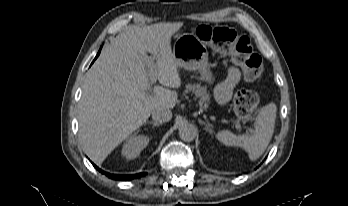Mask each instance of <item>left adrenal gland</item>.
<instances>
[{"instance_id":"a2214340","label":"left adrenal gland","mask_w":348,"mask_h":206,"mask_svg":"<svg viewBox=\"0 0 348 206\" xmlns=\"http://www.w3.org/2000/svg\"><path fill=\"white\" fill-rule=\"evenodd\" d=\"M199 123L201 124V125H205V130L206 131H208L210 134H212L213 133V130H212V128L210 127V125L208 124V123H206V122H204V121H202V120H200L199 119Z\"/></svg>"}]
</instances>
